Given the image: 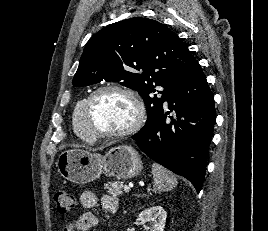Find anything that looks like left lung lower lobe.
<instances>
[{"mask_svg":"<svg viewBox=\"0 0 268 231\" xmlns=\"http://www.w3.org/2000/svg\"><path fill=\"white\" fill-rule=\"evenodd\" d=\"M174 117L162 111L152 126L132 136L151 159L202 188L206 157L216 119L214 97L198 62L169 89L166 100Z\"/></svg>","mask_w":268,"mask_h":231,"instance_id":"left-lung-lower-lobe-1","label":"left lung lower lobe"}]
</instances>
